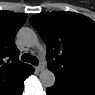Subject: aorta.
I'll return each instance as SVG.
<instances>
[{
	"instance_id": "762f6f07",
	"label": "aorta",
	"mask_w": 95,
	"mask_h": 95,
	"mask_svg": "<svg viewBox=\"0 0 95 95\" xmlns=\"http://www.w3.org/2000/svg\"><path fill=\"white\" fill-rule=\"evenodd\" d=\"M18 40L27 47H33L38 43V37L31 28L23 27L18 31ZM39 79L43 87H52L55 83V75L49 69H44L39 74Z\"/></svg>"
}]
</instances>
